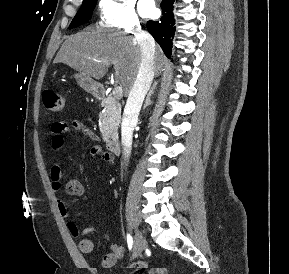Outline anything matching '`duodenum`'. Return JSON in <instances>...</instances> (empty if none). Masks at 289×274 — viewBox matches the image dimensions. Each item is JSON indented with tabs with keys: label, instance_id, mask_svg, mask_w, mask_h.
<instances>
[{
	"label": "duodenum",
	"instance_id": "410a0bca",
	"mask_svg": "<svg viewBox=\"0 0 289 274\" xmlns=\"http://www.w3.org/2000/svg\"><path fill=\"white\" fill-rule=\"evenodd\" d=\"M97 95L100 98H103L105 96V90L102 87H99L97 89ZM107 148L108 150L113 154H119L120 153V142L118 139H110L107 141Z\"/></svg>",
	"mask_w": 289,
	"mask_h": 274
}]
</instances>
